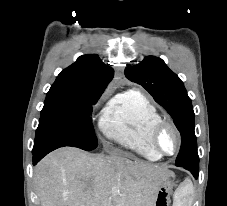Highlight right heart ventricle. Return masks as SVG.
I'll use <instances>...</instances> for the list:
<instances>
[{"label": "right heart ventricle", "instance_id": "e07e8e85", "mask_svg": "<svg viewBox=\"0 0 227 206\" xmlns=\"http://www.w3.org/2000/svg\"><path fill=\"white\" fill-rule=\"evenodd\" d=\"M161 119L154 103L132 89L109 101L100 118V129L108 139L145 159L156 161L161 156L151 148L149 133Z\"/></svg>", "mask_w": 227, "mask_h": 206}]
</instances>
